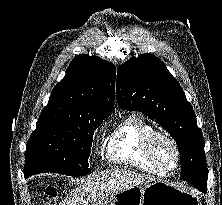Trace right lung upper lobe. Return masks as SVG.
<instances>
[{
	"label": "right lung upper lobe",
	"mask_w": 222,
	"mask_h": 205,
	"mask_svg": "<svg viewBox=\"0 0 222 205\" xmlns=\"http://www.w3.org/2000/svg\"><path fill=\"white\" fill-rule=\"evenodd\" d=\"M116 68L97 56L77 55L39 119H104L113 108Z\"/></svg>",
	"instance_id": "obj_1"
}]
</instances>
